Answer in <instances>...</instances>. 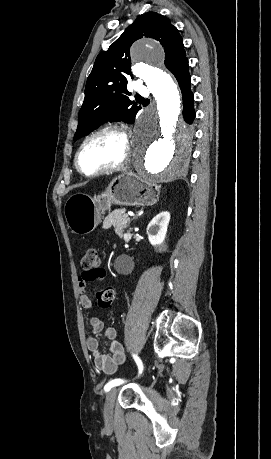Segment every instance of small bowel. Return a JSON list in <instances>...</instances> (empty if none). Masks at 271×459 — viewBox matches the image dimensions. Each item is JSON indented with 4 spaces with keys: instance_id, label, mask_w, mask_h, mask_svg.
Returning a JSON list of instances; mask_svg holds the SVG:
<instances>
[{
    "instance_id": "c3829d8e",
    "label": "small bowel",
    "mask_w": 271,
    "mask_h": 459,
    "mask_svg": "<svg viewBox=\"0 0 271 459\" xmlns=\"http://www.w3.org/2000/svg\"><path fill=\"white\" fill-rule=\"evenodd\" d=\"M106 277V271L98 268L90 272H83L78 278V288L80 293V304L85 309L93 306L92 300L86 292L87 284L96 280H103ZM91 332L93 334L103 333V336L109 340V353L104 354L100 348L98 340L95 337H89L86 345L90 351L96 368L106 374H113L125 360L124 350L119 341H117V332L113 327H105L104 323L97 317L89 319Z\"/></svg>"
}]
</instances>
